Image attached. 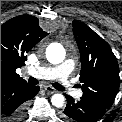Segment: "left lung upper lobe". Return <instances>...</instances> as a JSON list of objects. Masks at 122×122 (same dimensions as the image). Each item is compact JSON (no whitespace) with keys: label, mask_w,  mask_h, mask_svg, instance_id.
<instances>
[{"label":"left lung upper lobe","mask_w":122,"mask_h":122,"mask_svg":"<svg viewBox=\"0 0 122 122\" xmlns=\"http://www.w3.org/2000/svg\"><path fill=\"white\" fill-rule=\"evenodd\" d=\"M72 26L81 55L82 97L110 108L120 86L117 59L109 44L86 24L74 20Z\"/></svg>","instance_id":"1"}]
</instances>
